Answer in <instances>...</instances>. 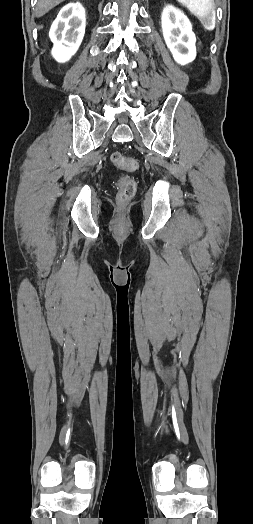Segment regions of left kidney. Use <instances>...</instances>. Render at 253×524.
<instances>
[{
  "mask_svg": "<svg viewBox=\"0 0 253 524\" xmlns=\"http://www.w3.org/2000/svg\"><path fill=\"white\" fill-rule=\"evenodd\" d=\"M163 37L174 60L180 65L192 62L196 57V37L183 12L166 5L161 16Z\"/></svg>",
  "mask_w": 253,
  "mask_h": 524,
  "instance_id": "obj_1",
  "label": "left kidney"
}]
</instances>
